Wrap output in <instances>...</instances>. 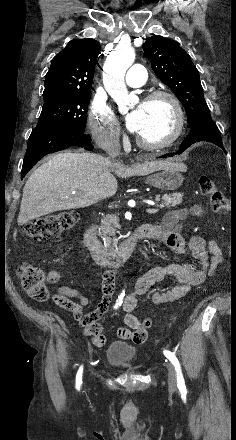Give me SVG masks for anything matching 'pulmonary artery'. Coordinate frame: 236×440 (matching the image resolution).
I'll list each match as a JSON object with an SVG mask.
<instances>
[{
  "instance_id": "pulmonary-artery-1",
  "label": "pulmonary artery",
  "mask_w": 236,
  "mask_h": 440,
  "mask_svg": "<svg viewBox=\"0 0 236 440\" xmlns=\"http://www.w3.org/2000/svg\"><path fill=\"white\" fill-rule=\"evenodd\" d=\"M147 77L146 69L139 64L130 67L126 75V84L129 87H140L144 85Z\"/></svg>"
}]
</instances>
